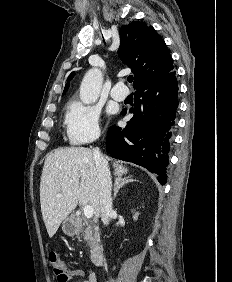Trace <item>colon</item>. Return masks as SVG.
<instances>
[{"label":"colon","instance_id":"5ec220e1","mask_svg":"<svg viewBox=\"0 0 232 282\" xmlns=\"http://www.w3.org/2000/svg\"><path fill=\"white\" fill-rule=\"evenodd\" d=\"M48 258L53 274L57 277L58 280H65V265L59 255L56 252L51 251L48 255Z\"/></svg>","mask_w":232,"mask_h":282}]
</instances>
